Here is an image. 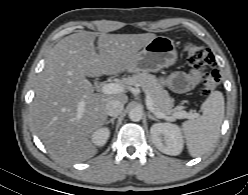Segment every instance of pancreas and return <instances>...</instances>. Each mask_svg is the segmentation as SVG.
Segmentation results:
<instances>
[{
  "label": "pancreas",
  "mask_w": 248,
  "mask_h": 195,
  "mask_svg": "<svg viewBox=\"0 0 248 195\" xmlns=\"http://www.w3.org/2000/svg\"><path fill=\"white\" fill-rule=\"evenodd\" d=\"M126 86H138L146 93H149L153 100L155 111L170 115L173 112L174 100L164 90L155 75L147 72L135 74L122 80Z\"/></svg>",
  "instance_id": "pancreas-1"
}]
</instances>
